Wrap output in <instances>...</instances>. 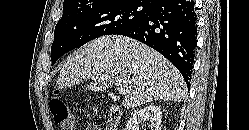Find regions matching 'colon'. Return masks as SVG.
I'll return each mask as SVG.
<instances>
[{
	"label": "colon",
	"instance_id": "1",
	"mask_svg": "<svg viewBox=\"0 0 249 130\" xmlns=\"http://www.w3.org/2000/svg\"><path fill=\"white\" fill-rule=\"evenodd\" d=\"M50 111L59 130H76L78 122L66 104L55 97L50 102Z\"/></svg>",
	"mask_w": 249,
	"mask_h": 130
}]
</instances>
